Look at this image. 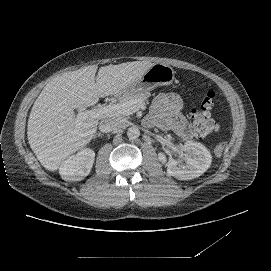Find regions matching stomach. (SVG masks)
<instances>
[{
	"label": "stomach",
	"instance_id": "1",
	"mask_svg": "<svg viewBox=\"0 0 271 271\" xmlns=\"http://www.w3.org/2000/svg\"><path fill=\"white\" fill-rule=\"evenodd\" d=\"M175 79V71L167 64L157 63L153 64L138 80L131 83L127 89L117 95L122 97L125 94L136 92H148L158 86H166L173 83Z\"/></svg>",
	"mask_w": 271,
	"mask_h": 271
}]
</instances>
